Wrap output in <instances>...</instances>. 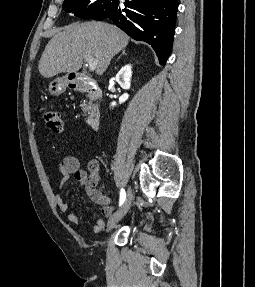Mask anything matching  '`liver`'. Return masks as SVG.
I'll return each mask as SVG.
<instances>
[{
	"label": "liver",
	"mask_w": 255,
	"mask_h": 287,
	"mask_svg": "<svg viewBox=\"0 0 255 287\" xmlns=\"http://www.w3.org/2000/svg\"><path fill=\"white\" fill-rule=\"evenodd\" d=\"M48 42L39 62L38 70L44 78H53L62 72H78L83 58L93 56L98 60V76L106 72L113 56L124 50L129 36L122 30L104 22H84L62 28Z\"/></svg>",
	"instance_id": "liver-1"
}]
</instances>
